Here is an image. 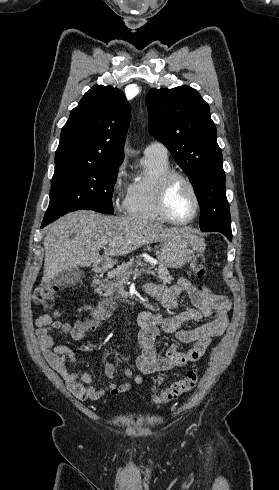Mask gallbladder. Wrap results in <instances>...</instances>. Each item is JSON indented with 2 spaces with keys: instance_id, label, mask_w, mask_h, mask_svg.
I'll return each mask as SVG.
<instances>
[{
  "instance_id": "1",
  "label": "gallbladder",
  "mask_w": 279,
  "mask_h": 490,
  "mask_svg": "<svg viewBox=\"0 0 279 490\" xmlns=\"http://www.w3.org/2000/svg\"><path fill=\"white\" fill-rule=\"evenodd\" d=\"M82 278H84L83 270H80V268H69V270H63L61 274L55 276L53 282L56 286H77V284L82 282Z\"/></svg>"
}]
</instances>
